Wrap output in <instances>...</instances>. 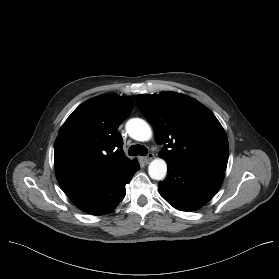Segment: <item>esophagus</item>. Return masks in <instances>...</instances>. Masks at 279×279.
I'll use <instances>...</instances> for the list:
<instances>
[{
    "label": "esophagus",
    "instance_id": "esophagus-1",
    "mask_svg": "<svg viewBox=\"0 0 279 279\" xmlns=\"http://www.w3.org/2000/svg\"><path fill=\"white\" fill-rule=\"evenodd\" d=\"M153 158H154V154L148 153L147 156L143 157V161L147 163V162L151 161Z\"/></svg>",
    "mask_w": 279,
    "mask_h": 279
}]
</instances>
